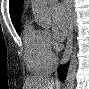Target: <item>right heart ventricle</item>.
<instances>
[{"label": "right heart ventricle", "instance_id": "e07e8e85", "mask_svg": "<svg viewBox=\"0 0 89 89\" xmlns=\"http://www.w3.org/2000/svg\"><path fill=\"white\" fill-rule=\"evenodd\" d=\"M24 61L33 74H48L56 63L53 55L46 53L42 44V31L35 29L29 22L24 28Z\"/></svg>", "mask_w": 89, "mask_h": 89}]
</instances>
